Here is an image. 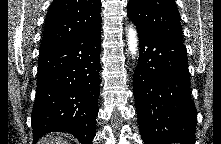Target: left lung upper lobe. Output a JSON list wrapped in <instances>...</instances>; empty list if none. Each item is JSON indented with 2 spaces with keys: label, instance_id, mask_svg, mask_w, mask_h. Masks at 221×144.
<instances>
[{
  "label": "left lung upper lobe",
  "instance_id": "1",
  "mask_svg": "<svg viewBox=\"0 0 221 144\" xmlns=\"http://www.w3.org/2000/svg\"><path fill=\"white\" fill-rule=\"evenodd\" d=\"M127 15L141 33L182 42L180 15L174 0H129Z\"/></svg>",
  "mask_w": 221,
  "mask_h": 144
}]
</instances>
